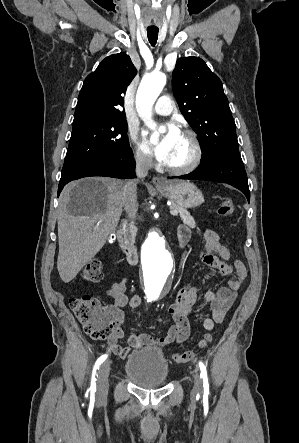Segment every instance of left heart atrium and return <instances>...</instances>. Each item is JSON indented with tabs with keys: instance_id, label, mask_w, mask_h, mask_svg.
<instances>
[{
	"instance_id": "obj_1",
	"label": "left heart atrium",
	"mask_w": 299,
	"mask_h": 443,
	"mask_svg": "<svg viewBox=\"0 0 299 443\" xmlns=\"http://www.w3.org/2000/svg\"><path fill=\"white\" fill-rule=\"evenodd\" d=\"M150 131L143 130V139L145 148L150 151L158 161L166 163L171 149L180 136L179 130L174 125H169L166 134L155 144L149 142Z\"/></svg>"
}]
</instances>
